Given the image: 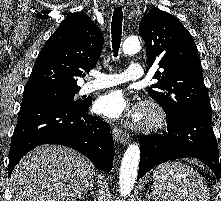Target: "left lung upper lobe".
<instances>
[{"label":"left lung upper lobe","instance_id":"5c2ea615","mask_svg":"<svg viewBox=\"0 0 221 201\" xmlns=\"http://www.w3.org/2000/svg\"><path fill=\"white\" fill-rule=\"evenodd\" d=\"M139 33L146 44L148 65L162 71L150 96L164 109L170 120L193 111L211 112L197 47L191 34L175 16L159 10L149 11L140 21Z\"/></svg>","mask_w":221,"mask_h":201}]
</instances>
